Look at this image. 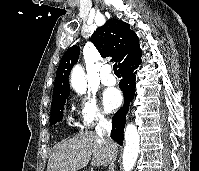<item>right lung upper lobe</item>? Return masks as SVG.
<instances>
[{
  "instance_id": "right-lung-upper-lobe-1",
  "label": "right lung upper lobe",
  "mask_w": 199,
  "mask_h": 171,
  "mask_svg": "<svg viewBox=\"0 0 199 171\" xmlns=\"http://www.w3.org/2000/svg\"><path fill=\"white\" fill-rule=\"evenodd\" d=\"M102 57H113L119 68L141 57L139 38L128 23L109 19L96 29L90 38ZM80 47L74 45L63 55L58 66L53 88L52 103L65 99L70 94L69 74L78 61Z\"/></svg>"
}]
</instances>
